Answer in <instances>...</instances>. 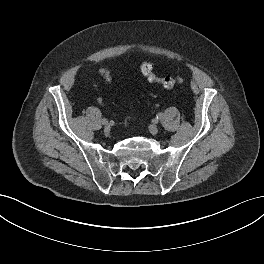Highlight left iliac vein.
I'll return each mask as SVG.
<instances>
[{"mask_svg":"<svg viewBox=\"0 0 264 264\" xmlns=\"http://www.w3.org/2000/svg\"><path fill=\"white\" fill-rule=\"evenodd\" d=\"M149 131L151 134L156 135L158 133L159 129L156 125H150Z\"/></svg>","mask_w":264,"mask_h":264,"instance_id":"left-iliac-vein-1","label":"left iliac vein"}]
</instances>
